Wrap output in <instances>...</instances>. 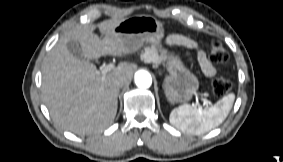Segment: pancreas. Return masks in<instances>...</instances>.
Here are the masks:
<instances>
[{
	"instance_id": "obj_1",
	"label": "pancreas",
	"mask_w": 283,
	"mask_h": 162,
	"mask_svg": "<svg viewBox=\"0 0 283 162\" xmlns=\"http://www.w3.org/2000/svg\"><path fill=\"white\" fill-rule=\"evenodd\" d=\"M161 57L155 52L154 49H145V54H144V60L146 62H153V63H159L161 61Z\"/></svg>"
}]
</instances>
